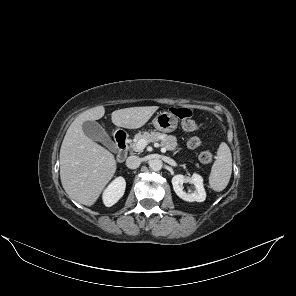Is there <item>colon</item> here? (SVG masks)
Masks as SVG:
<instances>
[{
	"label": "colon",
	"instance_id": "obj_1",
	"mask_svg": "<svg viewBox=\"0 0 296 296\" xmlns=\"http://www.w3.org/2000/svg\"><path fill=\"white\" fill-rule=\"evenodd\" d=\"M171 112L179 117L182 121V128L187 132L197 131L199 129L197 123L193 119V113L185 107H173ZM187 145L190 149H198L201 146V140L198 137H191ZM199 160L202 163H210L213 160V155L209 151H204L199 154Z\"/></svg>",
	"mask_w": 296,
	"mask_h": 296
}]
</instances>
